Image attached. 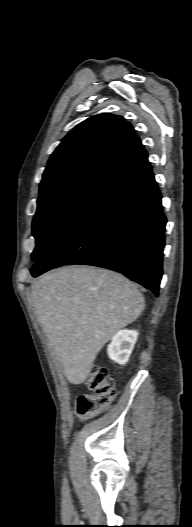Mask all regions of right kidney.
<instances>
[{
	"label": "right kidney",
	"instance_id": "ca27d5eb",
	"mask_svg": "<svg viewBox=\"0 0 192 527\" xmlns=\"http://www.w3.org/2000/svg\"><path fill=\"white\" fill-rule=\"evenodd\" d=\"M138 332L134 330H121L117 332L108 345L107 353L110 359L118 364L124 365L137 341Z\"/></svg>",
	"mask_w": 192,
	"mask_h": 527
}]
</instances>
